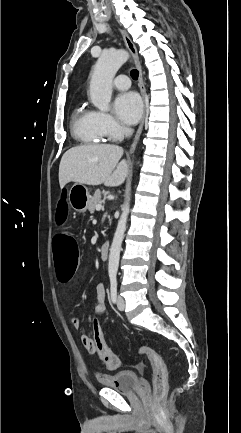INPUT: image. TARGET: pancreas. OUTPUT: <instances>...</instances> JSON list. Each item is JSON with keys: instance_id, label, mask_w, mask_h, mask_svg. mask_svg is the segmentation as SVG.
Wrapping results in <instances>:
<instances>
[{"instance_id": "obj_1", "label": "pancreas", "mask_w": 241, "mask_h": 433, "mask_svg": "<svg viewBox=\"0 0 241 433\" xmlns=\"http://www.w3.org/2000/svg\"><path fill=\"white\" fill-rule=\"evenodd\" d=\"M102 201L101 192L97 190L93 196L90 197L88 203V210L90 213H94L96 210V205L100 204Z\"/></svg>"}]
</instances>
